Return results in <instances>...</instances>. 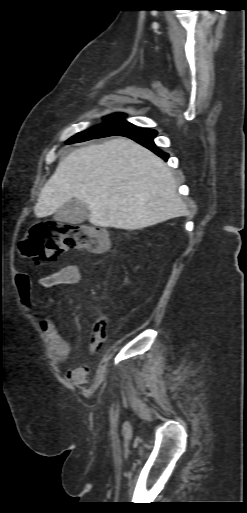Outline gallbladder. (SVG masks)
<instances>
[{
	"label": "gallbladder",
	"instance_id": "bac80fb5",
	"mask_svg": "<svg viewBox=\"0 0 247 513\" xmlns=\"http://www.w3.org/2000/svg\"><path fill=\"white\" fill-rule=\"evenodd\" d=\"M89 216V209L79 200H70L60 207L54 214L56 220L71 224H80Z\"/></svg>",
	"mask_w": 247,
	"mask_h": 513
}]
</instances>
